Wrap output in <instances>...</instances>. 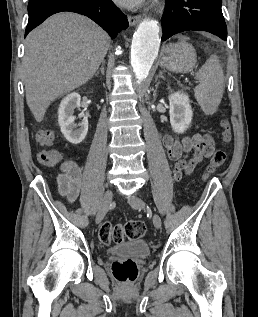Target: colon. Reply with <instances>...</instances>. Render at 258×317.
<instances>
[{
	"label": "colon",
	"mask_w": 258,
	"mask_h": 317,
	"mask_svg": "<svg viewBox=\"0 0 258 317\" xmlns=\"http://www.w3.org/2000/svg\"><path fill=\"white\" fill-rule=\"evenodd\" d=\"M221 137L226 143L232 138L231 126L227 120L220 123ZM38 161L46 166L57 164L61 155L54 149H43L37 153ZM227 159L225 151L218 149L214 151L208 164L205 176H208L216 169L221 167ZM146 233V226L140 221H128L124 224H112L104 222L99 228V239L104 244L120 243L124 239L137 240L142 238ZM114 277L122 283L134 281L138 275L137 264L132 260L114 261L111 267Z\"/></svg>",
	"instance_id": "5ec220e1"
}]
</instances>
